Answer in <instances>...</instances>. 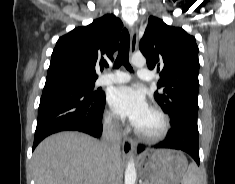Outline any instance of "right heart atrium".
<instances>
[{"mask_svg": "<svg viewBox=\"0 0 235 184\" xmlns=\"http://www.w3.org/2000/svg\"><path fill=\"white\" fill-rule=\"evenodd\" d=\"M105 124L109 131L113 133L119 132V125L118 123L113 119V117L109 113H105Z\"/></svg>", "mask_w": 235, "mask_h": 184, "instance_id": "obj_1", "label": "right heart atrium"}]
</instances>
